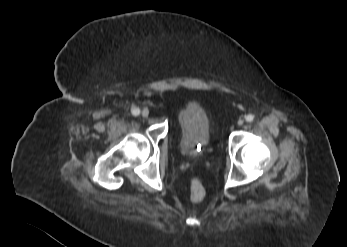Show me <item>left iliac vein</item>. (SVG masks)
<instances>
[{
    "label": "left iliac vein",
    "mask_w": 347,
    "mask_h": 247,
    "mask_svg": "<svg viewBox=\"0 0 347 247\" xmlns=\"http://www.w3.org/2000/svg\"><path fill=\"white\" fill-rule=\"evenodd\" d=\"M243 123H244V120H242V119H239V120H238V125H239V126L243 125Z\"/></svg>",
    "instance_id": "4c4485c4"
}]
</instances>
